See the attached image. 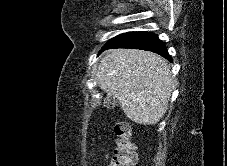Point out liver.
Here are the masks:
<instances>
[{
    "label": "liver",
    "instance_id": "6515ba94",
    "mask_svg": "<svg viewBox=\"0 0 227 166\" xmlns=\"http://www.w3.org/2000/svg\"><path fill=\"white\" fill-rule=\"evenodd\" d=\"M96 79L130 120L143 125L163 118L174 89L166 59L142 50H112L101 60Z\"/></svg>",
    "mask_w": 227,
    "mask_h": 166
}]
</instances>
